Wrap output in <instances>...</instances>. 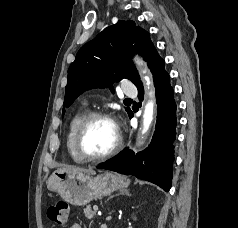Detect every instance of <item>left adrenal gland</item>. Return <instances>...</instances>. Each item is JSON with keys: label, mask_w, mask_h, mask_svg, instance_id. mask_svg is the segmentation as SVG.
Here are the masks:
<instances>
[{"label": "left adrenal gland", "mask_w": 238, "mask_h": 228, "mask_svg": "<svg viewBox=\"0 0 238 228\" xmlns=\"http://www.w3.org/2000/svg\"><path fill=\"white\" fill-rule=\"evenodd\" d=\"M118 195H127V196H129L130 193H129V190L122 189V190H120V192L118 194H116V196H118ZM112 197H114V196H111L110 198H112Z\"/></svg>", "instance_id": "left-adrenal-gland-1"}]
</instances>
